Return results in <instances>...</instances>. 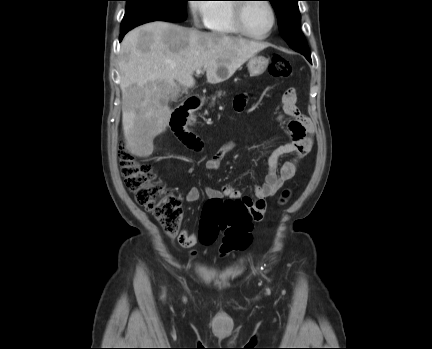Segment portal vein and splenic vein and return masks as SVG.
Returning a JSON list of instances; mask_svg holds the SVG:
<instances>
[{"instance_id": "1", "label": "portal vein and splenic vein", "mask_w": 432, "mask_h": 349, "mask_svg": "<svg viewBox=\"0 0 432 349\" xmlns=\"http://www.w3.org/2000/svg\"><path fill=\"white\" fill-rule=\"evenodd\" d=\"M196 74H197V75L202 74V70H201V69L196 70Z\"/></svg>"}]
</instances>
